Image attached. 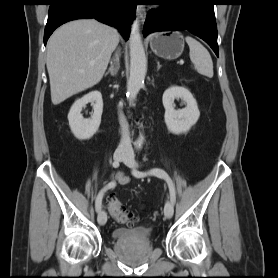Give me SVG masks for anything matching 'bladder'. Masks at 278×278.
Returning a JSON list of instances; mask_svg holds the SVG:
<instances>
[{
    "label": "bladder",
    "mask_w": 278,
    "mask_h": 278,
    "mask_svg": "<svg viewBox=\"0 0 278 278\" xmlns=\"http://www.w3.org/2000/svg\"><path fill=\"white\" fill-rule=\"evenodd\" d=\"M112 237L115 241L125 243H145L151 240V232L148 229L135 227H120L112 231Z\"/></svg>",
    "instance_id": "bladder-1"
}]
</instances>
